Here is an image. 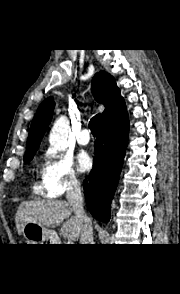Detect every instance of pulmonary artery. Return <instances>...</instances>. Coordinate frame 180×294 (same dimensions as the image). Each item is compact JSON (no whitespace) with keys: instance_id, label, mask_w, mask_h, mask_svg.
I'll return each mask as SVG.
<instances>
[{"instance_id":"obj_1","label":"pulmonary artery","mask_w":180,"mask_h":294,"mask_svg":"<svg viewBox=\"0 0 180 294\" xmlns=\"http://www.w3.org/2000/svg\"><path fill=\"white\" fill-rule=\"evenodd\" d=\"M77 142L81 145H87L90 142V134L88 129H83L77 135Z\"/></svg>"}]
</instances>
